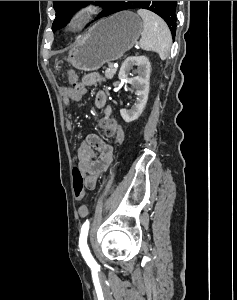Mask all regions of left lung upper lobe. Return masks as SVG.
<instances>
[{
    "mask_svg": "<svg viewBox=\"0 0 237 300\" xmlns=\"http://www.w3.org/2000/svg\"><path fill=\"white\" fill-rule=\"evenodd\" d=\"M89 1H53L56 18L52 24L55 31L64 26L75 8ZM104 7L102 16L110 14V8L116 1H97ZM176 3L177 1H120L118 11L142 8L150 10L164 19L169 26L172 35L176 34Z\"/></svg>",
    "mask_w": 237,
    "mask_h": 300,
    "instance_id": "5c2ea615",
    "label": "left lung upper lobe"
}]
</instances>
